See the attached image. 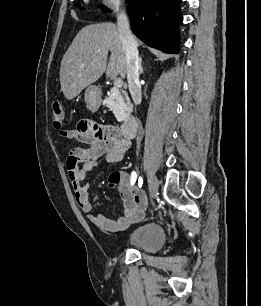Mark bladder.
Masks as SVG:
<instances>
[{
  "label": "bladder",
  "mask_w": 261,
  "mask_h": 306,
  "mask_svg": "<svg viewBox=\"0 0 261 306\" xmlns=\"http://www.w3.org/2000/svg\"><path fill=\"white\" fill-rule=\"evenodd\" d=\"M164 242L163 227L157 222H148L131 232L126 245L144 253H155L162 248Z\"/></svg>",
  "instance_id": "31cf9c89"
}]
</instances>
